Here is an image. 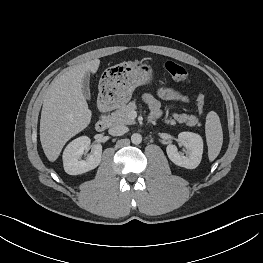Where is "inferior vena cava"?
Instances as JSON below:
<instances>
[{"mask_svg":"<svg viewBox=\"0 0 263 263\" xmlns=\"http://www.w3.org/2000/svg\"><path fill=\"white\" fill-rule=\"evenodd\" d=\"M128 127L124 125H114L109 129V134L114 136H121L128 132Z\"/></svg>","mask_w":263,"mask_h":263,"instance_id":"obj_1","label":"inferior vena cava"}]
</instances>
